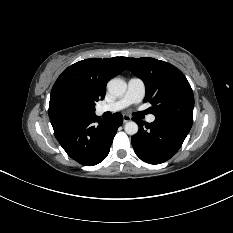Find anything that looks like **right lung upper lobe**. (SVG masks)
Instances as JSON below:
<instances>
[{
	"instance_id": "1",
	"label": "right lung upper lobe",
	"mask_w": 233,
	"mask_h": 233,
	"mask_svg": "<svg viewBox=\"0 0 233 233\" xmlns=\"http://www.w3.org/2000/svg\"><path fill=\"white\" fill-rule=\"evenodd\" d=\"M125 69L122 57L85 59L69 66L52 88L49 118L60 116L56 112L55 104L64 94L78 95L92 104L102 100L105 97L107 81Z\"/></svg>"
}]
</instances>
